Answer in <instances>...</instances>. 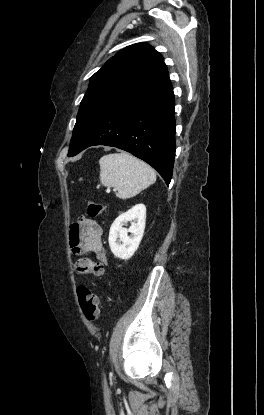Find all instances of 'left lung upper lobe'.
Returning a JSON list of instances; mask_svg holds the SVG:
<instances>
[{
    "instance_id": "5c2ea615",
    "label": "left lung upper lobe",
    "mask_w": 264,
    "mask_h": 415,
    "mask_svg": "<svg viewBox=\"0 0 264 415\" xmlns=\"http://www.w3.org/2000/svg\"><path fill=\"white\" fill-rule=\"evenodd\" d=\"M168 76L163 57L137 43L110 58L90 78L76 118L68 156H74L100 118L123 99Z\"/></svg>"
}]
</instances>
